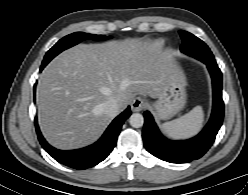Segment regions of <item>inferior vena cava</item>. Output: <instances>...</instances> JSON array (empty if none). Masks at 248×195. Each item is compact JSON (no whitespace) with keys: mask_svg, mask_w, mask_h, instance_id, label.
<instances>
[{"mask_svg":"<svg viewBox=\"0 0 248 195\" xmlns=\"http://www.w3.org/2000/svg\"><path fill=\"white\" fill-rule=\"evenodd\" d=\"M102 111L110 116L115 117L119 112V104L116 99L109 98L102 104Z\"/></svg>","mask_w":248,"mask_h":195,"instance_id":"1","label":"inferior vena cava"}]
</instances>
